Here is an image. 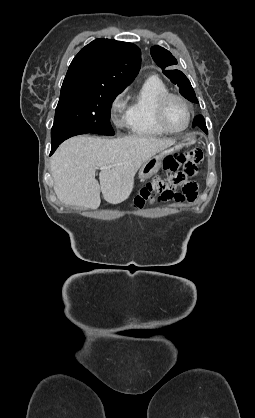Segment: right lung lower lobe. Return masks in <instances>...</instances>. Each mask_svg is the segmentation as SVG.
Instances as JSON below:
<instances>
[{"instance_id": "98d812e1", "label": "right lung lower lobe", "mask_w": 255, "mask_h": 418, "mask_svg": "<svg viewBox=\"0 0 255 418\" xmlns=\"http://www.w3.org/2000/svg\"><path fill=\"white\" fill-rule=\"evenodd\" d=\"M79 134H90V133H86V132H69V133H64L61 135H58L56 137L52 138V149H51V153L50 155H52V153L57 149V147L66 139L75 136V135H79Z\"/></svg>"}]
</instances>
